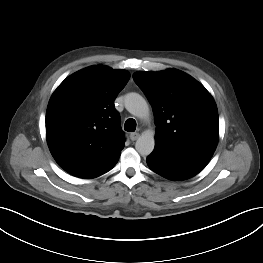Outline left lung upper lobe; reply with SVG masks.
Masks as SVG:
<instances>
[{
    "mask_svg": "<svg viewBox=\"0 0 263 263\" xmlns=\"http://www.w3.org/2000/svg\"><path fill=\"white\" fill-rule=\"evenodd\" d=\"M133 79L153 107L156 144L214 153L219 138L218 111L202 84L176 69L140 71Z\"/></svg>",
    "mask_w": 263,
    "mask_h": 263,
    "instance_id": "5c2ea615",
    "label": "left lung upper lobe"
}]
</instances>
